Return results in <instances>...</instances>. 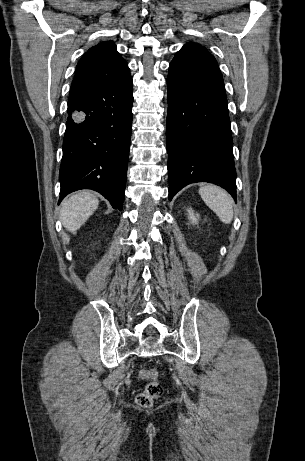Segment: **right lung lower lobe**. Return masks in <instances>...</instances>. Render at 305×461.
Here are the masks:
<instances>
[{"mask_svg": "<svg viewBox=\"0 0 305 461\" xmlns=\"http://www.w3.org/2000/svg\"><path fill=\"white\" fill-rule=\"evenodd\" d=\"M130 73L103 84L71 89L60 167L59 203L92 189L122 210L132 124Z\"/></svg>", "mask_w": 305, "mask_h": 461, "instance_id": "98d812e1", "label": "right lung lower lobe"}]
</instances>
